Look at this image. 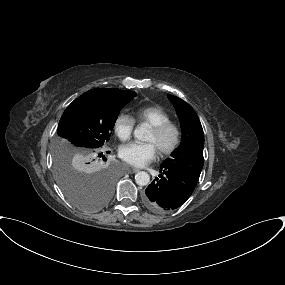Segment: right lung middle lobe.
Masks as SVG:
<instances>
[{
  "instance_id": "obj_1",
  "label": "right lung middle lobe",
  "mask_w": 285,
  "mask_h": 285,
  "mask_svg": "<svg viewBox=\"0 0 285 285\" xmlns=\"http://www.w3.org/2000/svg\"><path fill=\"white\" fill-rule=\"evenodd\" d=\"M136 93L95 88L74 100L64 111L54 145V170L58 185L77 207L87 211L103 208L112 194L110 166L90 171L109 141L120 110Z\"/></svg>"
}]
</instances>
